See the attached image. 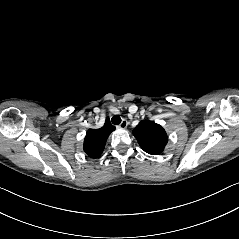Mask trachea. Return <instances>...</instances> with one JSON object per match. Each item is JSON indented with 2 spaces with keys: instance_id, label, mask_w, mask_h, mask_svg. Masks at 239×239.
I'll list each match as a JSON object with an SVG mask.
<instances>
[{
  "instance_id": "obj_1",
  "label": "trachea",
  "mask_w": 239,
  "mask_h": 239,
  "mask_svg": "<svg viewBox=\"0 0 239 239\" xmlns=\"http://www.w3.org/2000/svg\"><path fill=\"white\" fill-rule=\"evenodd\" d=\"M111 121L114 125H118L121 123V118L118 115H115L112 117Z\"/></svg>"
}]
</instances>
